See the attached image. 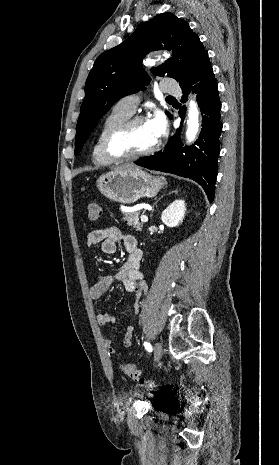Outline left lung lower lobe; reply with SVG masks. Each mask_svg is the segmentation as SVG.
<instances>
[{"label":"left lung lower lobe","mask_w":279,"mask_h":465,"mask_svg":"<svg viewBox=\"0 0 279 465\" xmlns=\"http://www.w3.org/2000/svg\"><path fill=\"white\" fill-rule=\"evenodd\" d=\"M179 84L183 91V102L191 90L197 94L198 105L203 113L199 138L194 145L183 147L180 142V127L162 151L141 158L135 163L151 170L172 173L196 181L203 187L211 202L215 193L222 123L218 85L207 52L201 56L192 74ZM184 112L185 109L181 108L179 113L182 117Z\"/></svg>","instance_id":"obj_1"}]
</instances>
